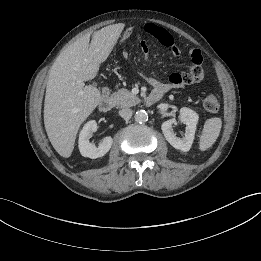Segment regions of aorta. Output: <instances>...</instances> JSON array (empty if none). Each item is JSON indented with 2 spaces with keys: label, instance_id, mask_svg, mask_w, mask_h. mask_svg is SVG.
<instances>
[{
  "label": "aorta",
  "instance_id": "aorta-1",
  "mask_svg": "<svg viewBox=\"0 0 261 261\" xmlns=\"http://www.w3.org/2000/svg\"><path fill=\"white\" fill-rule=\"evenodd\" d=\"M134 118L138 123H145L148 121V114L145 110H139L135 113Z\"/></svg>",
  "mask_w": 261,
  "mask_h": 261
}]
</instances>
